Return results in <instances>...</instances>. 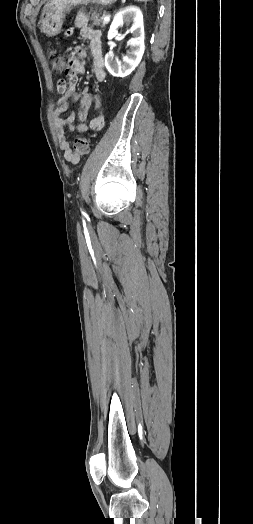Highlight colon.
<instances>
[{
  "label": "colon",
  "instance_id": "1",
  "mask_svg": "<svg viewBox=\"0 0 253 524\" xmlns=\"http://www.w3.org/2000/svg\"><path fill=\"white\" fill-rule=\"evenodd\" d=\"M49 61L51 63L52 69L56 73H61L67 63L66 56L63 52L50 49L49 51ZM89 152V142L87 138L83 136H76L72 142V148L68 153V160L72 162L79 161Z\"/></svg>",
  "mask_w": 253,
  "mask_h": 524
}]
</instances>
